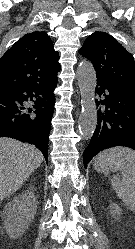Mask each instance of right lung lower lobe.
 I'll list each match as a JSON object with an SVG mask.
<instances>
[{
  "mask_svg": "<svg viewBox=\"0 0 135 249\" xmlns=\"http://www.w3.org/2000/svg\"><path fill=\"white\" fill-rule=\"evenodd\" d=\"M57 79L0 89V137L34 144L47 162ZM26 102H33L32 108Z\"/></svg>",
  "mask_w": 135,
  "mask_h": 249,
  "instance_id": "98d812e1",
  "label": "right lung lower lobe"
}]
</instances>
